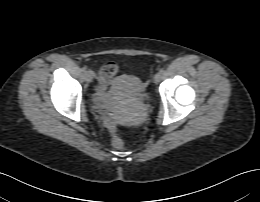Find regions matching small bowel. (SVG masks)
I'll return each mask as SVG.
<instances>
[{"instance_id": "1", "label": "small bowel", "mask_w": 260, "mask_h": 202, "mask_svg": "<svg viewBox=\"0 0 260 202\" xmlns=\"http://www.w3.org/2000/svg\"><path fill=\"white\" fill-rule=\"evenodd\" d=\"M108 87L109 83L107 81H103L99 90L96 93L97 99H99L101 102H104L105 94L108 90ZM98 110L102 113V119L105 127L110 133H113L116 128V119L110 114L105 104L99 105Z\"/></svg>"}]
</instances>
